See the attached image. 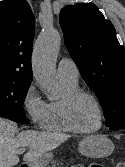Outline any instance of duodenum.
I'll return each instance as SVG.
<instances>
[{
	"instance_id": "obj_1",
	"label": "duodenum",
	"mask_w": 125,
	"mask_h": 167,
	"mask_svg": "<svg viewBox=\"0 0 125 167\" xmlns=\"http://www.w3.org/2000/svg\"><path fill=\"white\" fill-rule=\"evenodd\" d=\"M21 167H27L25 164L21 165Z\"/></svg>"
}]
</instances>
